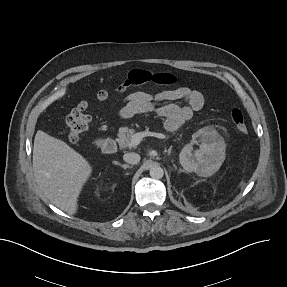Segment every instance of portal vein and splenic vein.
Masks as SVG:
<instances>
[{"label": "portal vein and splenic vein", "instance_id": "18ae733b", "mask_svg": "<svg viewBox=\"0 0 287 287\" xmlns=\"http://www.w3.org/2000/svg\"><path fill=\"white\" fill-rule=\"evenodd\" d=\"M146 136H153L159 139L166 138V136L162 133L149 132V131L138 132L132 136L131 141H130V146L136 147L142 141V139Z\"/></svg>", "mask_w": 287, "mask_h": 287}]
</instances>
